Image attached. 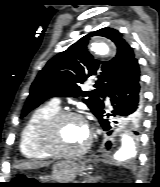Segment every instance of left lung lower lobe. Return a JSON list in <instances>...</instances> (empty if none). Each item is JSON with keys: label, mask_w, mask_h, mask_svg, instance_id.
I'll return each mask as SVG.
<instances>
[{"label": "left lung lower lobe", "mask_w": 160, "mask_h": 187, "mask_svg": "<svg viewBox=\"0 0 160 187\" xmlns=\"http://www.w3.org/2000/svg\"><path fill=\"white\" fill-rule=\"evenodd\" d=\"M111 101V112L107 116H113L118 120H130L134 124H139L143 111V95L140 80V68L135 58L130 64L126 74L115 83L105 94ZM104 96V97H105ZM106 108L104 102L96 117L108 135L112 134L111 124L108 119H104ZM117 123V121H113ZM111 143L107 142L109 149Z\"/></svg>", "instance_id": "0a47b994"}]
</instances>
